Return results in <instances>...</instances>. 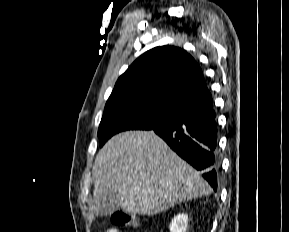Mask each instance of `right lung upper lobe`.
I'll return each mask as SVG.
<instances>
[{"instance_id": "right-lung-upper-lobe-1", "label": "right lung upper lobe", "mask_w": 289, "mask_h": 232, "mask_svg": "<svg viewBox=\"0 0 289 232\" xmlns=\"http://www.w3.org/2000/svg\"><path fill=\"white\" fill-rule=\"evenodd\" d=\"M142 97L180 110L212 101L202 69L185 50L153 48L117 80L109 98Z\"/></svg>"}]
</instances>
